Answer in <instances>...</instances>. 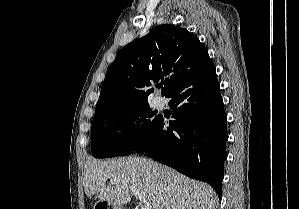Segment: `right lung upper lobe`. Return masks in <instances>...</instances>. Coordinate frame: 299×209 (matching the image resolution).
I'll list each match as a JSON object with an SVG mask.
<instances>
[{
    "instance_id": "right-lung-upper-lobe-1",
    "label": "right lung upper lobe",
    "mask_w": 299,
    "mask_h": 209,
    "mask_svg": "<svg viewBox=\"0 0 299 209\" xmlns=\"http://www.w3.org/2000/svg\"><path fill=\"white\" fill-rule=\"evenodd\" d=\"M214 72L207 49L188 30L159 25L122 48L103 82L95 115L122 107L148 103L154 83L162 80L167 96L193 74Z\"/></svg>"
}]
</instances>
